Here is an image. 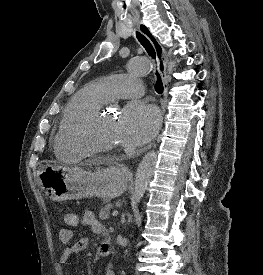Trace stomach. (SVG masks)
<instances>
[{
    "instance_id": "0dacf381",
    "label": "stomach",
    "mask_w": 263,
    "mask_h": 275,
    "mask_svg": "<svg viewBox=\"0 0 263 275\" xmlns=\"http://www.w3.org/2000/svg\"><path fill=\"white\" fill-rule=\"evenodd\" d=\"M38 180L45 194L53 201L92 196L112 199L127 189L126 172L116 165L90 171L80 167L48 164L40 170Z\"/></svg>"
}]
</instances>
